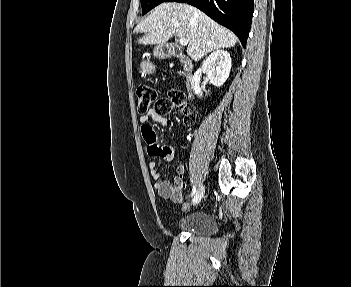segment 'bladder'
<instances>
[{"mask_svg": "<svg viewBox=\"0 0 351 287\" xmlns=\"http://www.w3.org/2000/svg\"><path fill=\"white\" fill-rule=\"evenodd\" d=\"M177 228L186 233L211 235L217 229V223L212 214L206 212L193 213L183 218Z\"/></svg>", "mask_w": 351, "mask_h": 287, "instance_id": "31cf9c89", "label": "bladder"}]
</instances>
